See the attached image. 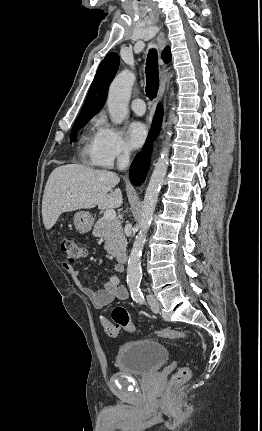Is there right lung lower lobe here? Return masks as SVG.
<instances>
[{
  "instance_id": "98d812e1",
  "label": "right lung lower lobe",
  "mask_w": 262,
  "mask_h": 431,
  "mask_svg": "<svg viewBox=\"0 0 262 431\" xmlns=\"http://www.w3.org/2000/svg\"><path fill=\"white\" fill-rule=\"evenodd\" d=\"M162 114V107L159 105L153 120V134H155L157 128L161 124ZM153 139V135L148 137L149 144ZM149 147L150 145L143 150V153H139L131 165L129 178L134 185L140 184L145 179L150 164Z\"/></svg>"
}]
</instances>
